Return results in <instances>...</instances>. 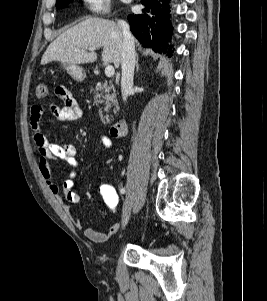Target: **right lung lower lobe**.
<instances>
[{
  "mask_svg": "<svg viewBox=\"0 0 267 301\" xmlns=\"http://www.w3.org/2000/svg\"><path fill=\"white\" fill-rule=\"evenodd\" d=\"M169 0H142V14L128 15L130 30L144 47L171 56Z\"/></svg>",
  "mask_w": 267,
  "mask_h": 301,
  "instance_id": "98d812e1",
  "label": "right lung lower lobe"
}]
</instances>
